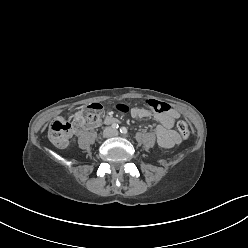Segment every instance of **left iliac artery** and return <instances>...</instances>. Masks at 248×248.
I'll return each instance as SVG.
<instances>
[{"label":"left iliac artery","mask_w":248,"mask_h":248,"mask_svg":"<svg viewBox=\"0 0 248 248\" xmlns=\"http://www.w3.org/2000/svg\"><path fill=\"white\" fill-rule=\"evenodd\" d=\"M120 132H121L122 134H127V133H128V130H127L126 127H121V128H120Z\"/></svg>","instance_id":"obj_1"}]
</instances>
